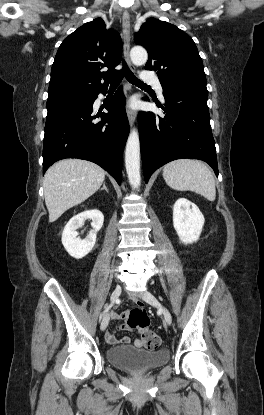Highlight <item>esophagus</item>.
Listing matches in <instances>:
<instances>
[{
    "instance_id": "esophagus-1",
    "label": "esophagus",
    "mask_w": 264,
    "mask_h": 415,
    "mask_svg": "<svg viewBox=\"0 0 264 415\" xmlns=\"http://www.w3.org/2000/svg\"><path fill=\"white\" fill-rule=\"evenodd\" d=\"M122 28H123V40H124V55L126 58V61L129 65V68L132 71H135V67L133 66V64L130 61V56H129V52H130V15L128 12H124L123 16H122ZM127 116H128V120L130 125L132 126L137 113L136 111L132 110L131 108H127Z\"/></svg>"
}]
</instances>
